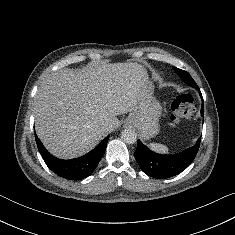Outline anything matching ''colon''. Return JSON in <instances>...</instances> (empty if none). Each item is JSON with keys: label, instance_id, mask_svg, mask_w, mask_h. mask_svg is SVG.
<instances>
[{"label": "colon", "instance_id": "5ec220e1", "mask_svg": "<svg viewBox=\"0 0 235 235\" xmlns=\"http://www.w3.org/2000/svg\"><path fill=\"white\" fill-rule=\"evenodd\" d=\"M195 112V104L192 95L182 94L178 96L171 106V120L179 123L183 120L190 119Z\"/></svg>", "mask_w": 235, "mask_h": 235}]
</instances>
